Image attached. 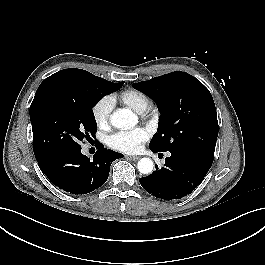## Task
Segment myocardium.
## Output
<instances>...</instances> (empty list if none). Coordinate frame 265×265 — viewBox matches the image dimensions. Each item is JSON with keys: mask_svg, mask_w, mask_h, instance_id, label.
I'll use <instances>...</instances> for the list:
<instances>
[{"mask_svg": "<svg viewBox=\"0 0 265 265\" xmlns=\"http://www.w3.org/2000/svg\"><path fill=\"white\" fill-rule=\"evenodd\" d=\"M142 113L145 114V115H148L149 114V110H144Z\"/></svg>", "mask_w": 265, "mask_h": 265, "instance_id": "obj_1", "label": "myocardium"}]
</instances>
